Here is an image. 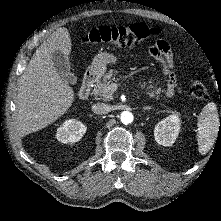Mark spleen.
Masks as SVG:
<instances>
[{"label":"spleen","mask_w":221,"mask_h":221,"mask_svg":"<svg viewBox=\"0 0 221 221\" xmlns=\"http://www.w3.org/2000/svg\"><path fill=\"white\" fill-rule=\"evenodd\" d=\"M197 126L198 150L201 154H206L214 145L219 130V116L214 102L202 109Z\"/></svg>","instance_id":"1"}]
</instances>
